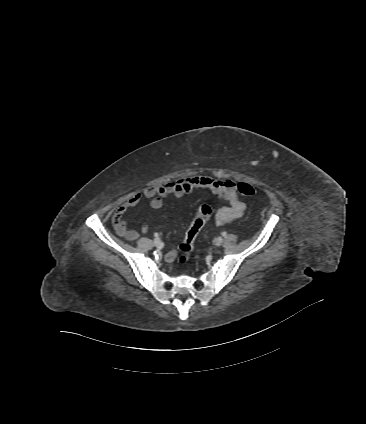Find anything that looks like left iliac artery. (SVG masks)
Here are the masks:
<instances>
[{
  "mask_svg": "<svg viewBox=\"0 0 366 424\" xmlns=\"http://www.w3.org/2000/svg\"><path fill=\"white\" fill-rule=\"evenodd\" d=\"M227 235V233L226 232H222V236H226Z\"/></svg>",
  "mask_w": 366,
  "mask_h": 424,
  "instance_id": "1",
  "label": "left iliac artery"
}]
</instances>
